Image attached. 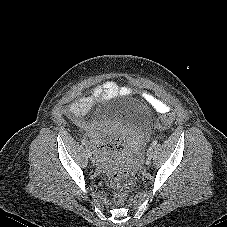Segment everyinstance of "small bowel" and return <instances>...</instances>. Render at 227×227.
Returning a JSON list of instances; mask_svg holds the SVG:
<instances>
[{
    "label": "small bowel",
    "instance_id": "obj_1",
    "mask_svg": "<svg viewBox=\"0 0 227 227\" xmlns=\"http://www.w3.org/2000/svg\"><path fill=\"white\" fill-rule=\"evenodd\" d=\"M130 94H132L130 88L119 86L114 81H106L103 84L96 86L89 95L83 96L73 102L70 109L85 112L98 100L110 99L117 96H127ZM144 97L157 112L166 113L170 111V107L167 104L152 94H145ZM91 143L94 151L101 156L112 155L116 153L120 147V143L114 137L103 138L93 136Z\"/></svg>",
    "mask_w": 227,
    "mask_h": 227
}]
</instances>
